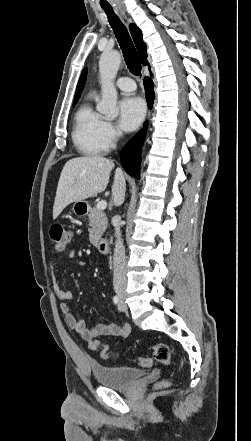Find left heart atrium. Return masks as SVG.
<instances>
[{
  "label": "left heart atrium",
  "mask_w": 251,
  "mask_h": 441,
  "mask_svg": "<svg viewBox=\"0 0 251 441\" xmlns=\"http://www.w3.org/2000/svg\"><path fill=\"white\" fill-rule=\"evenodd\" d=\"M119 125L126 131L136 129L142 122L146 107L138 97H126L120 102Z\"/></svg>",
  "instance_id": "left-heart-atrium-1"
}]
</instances>
